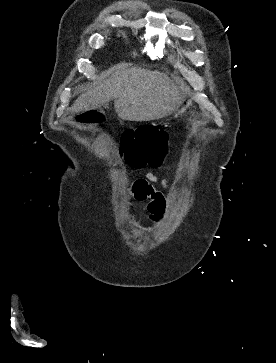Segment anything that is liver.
Instances as JSON below:
<instances>
[{"mask_svg":"<svg viewBox=\"0 0 276 363\" xmlns=\"http://www.w3.org/2000/svg\"><path fill=\"white\" fill-rule=\"evenodd\" d=\"M115 100V111L126 121H150L169 116L183 95L172 80L158 71L117 67L110 78L81 94L72 110L86 111Z\"/></svg>","mask_w":276,"mask_h":363,"instance_id":"1","label":"liver"}]
</instances>
